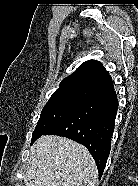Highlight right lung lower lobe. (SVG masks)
<instances>
[{
	"mask_svg": "<svg viewBox=\"0 0 138 186\" xmlns=\"http://www.w3.org/2000/svg\"><path fill=\"white\" fill-rule=\"evenodd\" d=\"M92 91L85 104L53 125L44 135L63 136L84 145L96 162L100 178L111 149L118 101L114 88Z\"/></svg>",
	"mask_w": 138,
	"mask_h": 186,
	"instance_id": "98d812e1",
	"label": "right lung lower lobe"
}]
</instances>
